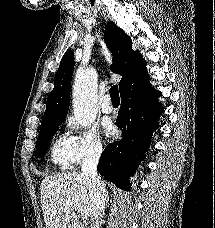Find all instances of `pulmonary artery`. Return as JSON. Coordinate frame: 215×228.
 <instances>
[{"mask_svg":"<svg viewBox=\"0 0 215 228\" xmlns=\"http://www.w3.org/2000/svg\"><path fill=\"white\" fill-rule=\"evenodd\" d=\"M101 109L104 113H111L113 111V105L111 102V97L110 95H106L104 102L101 105Z\"/></svg>","mask_w":215,"mask_h":228,"instance_id":"1","label":"pulmonary artery"}]
</instances>
